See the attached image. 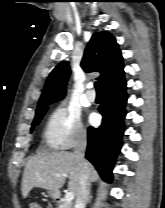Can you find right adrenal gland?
<instances>
[{
  "mask_svg": "<svg viewBox=\"0 0 165 208\" xmlns=\"http://www.w3.org/2000/svg\"><path fill=\"white\" fill-rule=\"evenodd\" d=\"M91 199H92V196L90 195V197H89V202H90Z\"/></svg>",
  "mask_w": 165,
  "mask_h": 208,
  "instance_id": "1",
  "label": "right adrenal gland"
}]
</instances>
